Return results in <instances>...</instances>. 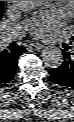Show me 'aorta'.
<instances>
[{
	"label": "aorta",
	"instance_id": "762f6f07",
	"mask_svg": "<svg viewBox=\"0 0 74 122\" xmlns=\"http://www.w3.org/2000/svg\"><path fill=\"white\" fill-rule=\"evenodd\" d=\"M21 10H35L46 1H16ZM42 62L49 68H57L63 62L62 51L55 46L46 47L41 54Z\"/></svg>",
	"mask_w": 74,
	"mask_h": 122
}]
</instances>
